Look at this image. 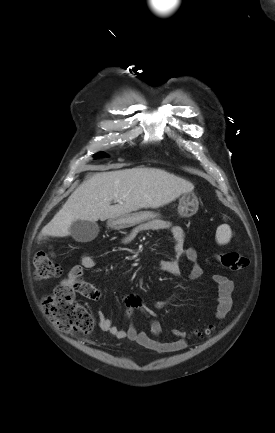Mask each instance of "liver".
I'll return each mask as SVG.
<instances>
[{
  "mask_svg": "<svg viewBox=\"0 0 275 433\" xmlns=\"http://www.w3.org/2000/svg\"><path fill=\"white\" fill-rule=\"evenodd\" d=\"M193 189L191 182L155 168L96 173L71 194L38 239L68 236L77 220L105 221L142 208H158ZM114 199H119V204L111 205Z\"/></svg>",
  "mask_w": 275,
  "mask_h": 433,
  "instance_id": "liver-1",
  "label": "liver"
}]
</instances>
